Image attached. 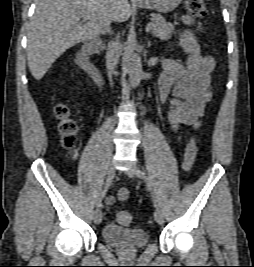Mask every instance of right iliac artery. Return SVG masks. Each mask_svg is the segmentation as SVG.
<instances>
[{
  "label": "right iliac artery",
  "mask_w": 254,
  "mask_h": 267,
  "mask_svg": "<svg viewBox=\"0 0 254 267\" xmlns=\"http://www.w3.org/2000/svg\"><path fill=\"white\" fill-rule=\"evenodd\" d=\"M113 178H114V174L113 175H109L107 177L105 186H104L103 190L100 192V194H99V196L97 198V202H96L97 207H100L102 205L103 197L105 196L108 188L110 187Z\"/></svg>",
  "instance_id": "obj_1"
}]
</instances>
